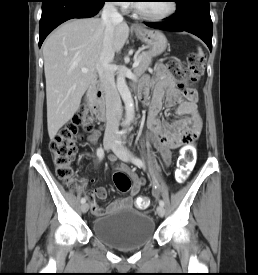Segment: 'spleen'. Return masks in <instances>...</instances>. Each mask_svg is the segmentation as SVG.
Segmentation results:
<instances>
[{
	"instance_id": "1",
	"label": "spleen",
	"mask_w": 258,
	"mask_h": 275,
	"mask_svg": "<svg viewBox=\"0 0 258 275\" xmlns=\"http://www.w3.org/2000/svg\"><path fill=\"white\" fill-rule=\"evenodd\" d=\"M198 52H199L200 56H203V51H202V49L200 47L198 48Z\"/></svg>"
}]
</instances>
